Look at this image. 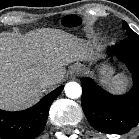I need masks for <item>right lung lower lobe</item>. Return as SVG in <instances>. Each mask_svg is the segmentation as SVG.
<instances>
[{"label":"right lung lower lobe","instance_id":"1","mask_svg":"<svg viewBox=\"0 0 139 139\" xmlns=\"http://www.w3.org/2000/svg\"><path fill=\"white\" fill-rule=\"evenodd\" d=\"M63 86L58 87L33 107L8 112L0 110V138L2 139H33L43 130L52 102L61 93Z\"/></svg>","mask_w":139,"mask_h":139}]
</instances>
